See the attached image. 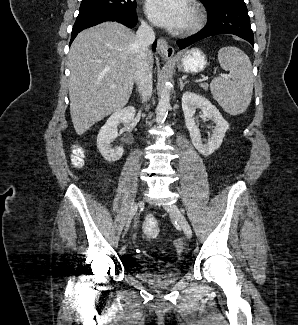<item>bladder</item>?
Masks as SVG:
<instances>
[{
	"label": "bladder",
	"instance_id": "bladder-1",
	"mask_svg": "<svg viewBox=\"0 0 298 325\" xmlns=\"http://www.w3.org/2000/svg\"><path fill=\"white\" fill-rule=\"evenodd\" d=\"M181 276L179 269L172 267L154 268L137 274L139 280L153 289H163L176 283Z\"/></svg>",
	"mask_w": 298,
	"mask_h": 325
}]
</instances>
